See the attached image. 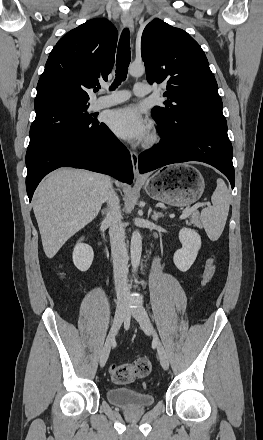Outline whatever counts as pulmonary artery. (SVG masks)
<instances>
[{"label":"pulmonary artery","instance_id":"1","mask_svg":"<svg viewBox=\"0 0 263 440\" xmlns=\"http://www.w3.org/2000/svg\"><path fill=\"white\" fill-rule=\"evenodd\" d=\"M152 91L147 83L138 82L133 87V94L136 96H144ZM131 93L127 90L114 91L108 95L101 96L94 100L92 108L95 110L116 105L118 103L128 100Z\"/></svg>","mask_w":263,"mask_h":440}]
</instances>
